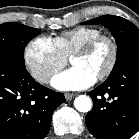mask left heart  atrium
I'll list each match as a JSON object with an SVG mask.
<instances>
[{
	"label": "left heart atrium",
	"instance_id": "39dd6f15",
	"mask_svg": "<svg viewBox=\"0 0 139 139\" xmlns=\"http://www.w3.org/2000/svg\"><path fill=\"white\" fill-rule=\"evenodd\" d=\"M97 77L86 69L73 66L52 79L54 88L62 91L81 90L90 87L95 83Z\"/></svg>",
	"mask_w": 139,
	"mask_h": 139
}]
</instances>
